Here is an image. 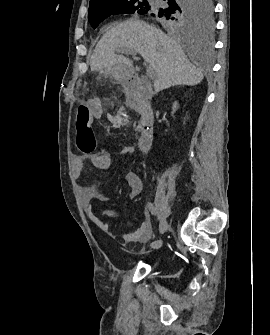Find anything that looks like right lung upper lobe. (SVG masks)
<instances>
[{
	"mask_svg": "<svg viewBox=\"0 0 270 335\" xmlns=\"http://www.w3.org/2000/svg\"><path fill=\"white\" fill-rule=\"evenodd\" d=\"M114 0H90L89 8L101 6L107 3H110Z\"/></svg>",
	"mask_w": 270,
	"mask_h": 335,
	"instance_id": "right-lung-upper-lobe-1",
	"label": "right lung upper lobe"
}]
</instances>
